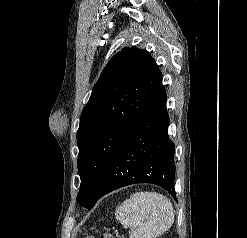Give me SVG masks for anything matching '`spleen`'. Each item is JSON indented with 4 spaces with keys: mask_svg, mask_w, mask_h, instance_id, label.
I'll use <instances>...</instances> for the list:
<instances>
[{
    "mask_svg": "<svg viewBox=\"0 0 247 238\" xmlns=\"http://www.w3.org/2000/svg\"><path fill=\"white\" fill-rule=\"evenodd\" d=\"M115 217L130 228V238H157L174 222L171 201L157 192H136L116 208Z\"/></svg>",
    "mask_w": 247,
    "mask_h": 238,
    "instance_id": "1",
    "label": "spleen"
}]
</instances>
